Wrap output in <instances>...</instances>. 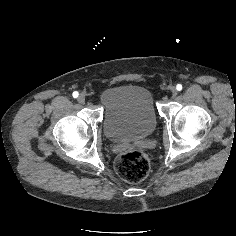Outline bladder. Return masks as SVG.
Masks as SVG:
<instances>
[{
	"label": "bladder",
	"instance_id": "obj_1",
	"mask_svg": "<svg viewBox=\"0 0 236 236\" xmlns=\"http://www.w3.org/2000/svg\"><path fill=\"white\" fill-rule=\"evenodd\" d=\"M104 108L103 131L111 142L150 136L158 124L152 92L138 84L116 85L101 96Z\"/></svg>",
	"mask_w": 236,
	"mask_h": 236
}]
</instances>
